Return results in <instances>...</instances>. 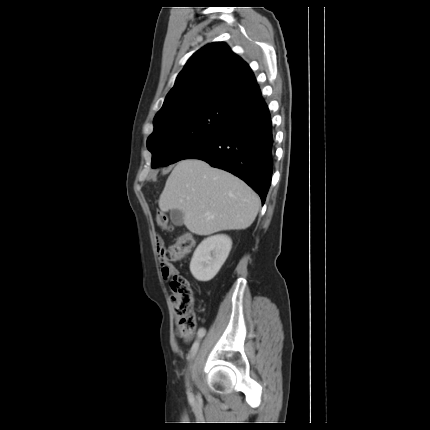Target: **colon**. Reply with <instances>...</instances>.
Masks as SVG:
<instances>
[{
	"instance_id": "colon-1",
	"label": "colon",
	"mask_w": 430,
	"mask_h": 430,
	"mask_svg": "<svg viewBox=\"0 0 430 430\" xmlns=\"http://www.w3.org/2000/svg\"><path fill=\"white\" fill-rule=\"evenodd\" d=\"M157 224L166 230L171 229L168 217L163 212H158L156 215ZM194 239L188 234L180 235L174 243L169 246L163 244L157 245L158 255L164 253V258L170 261H178L183 259L194 247ZM170 289L171 299L176 319V328L179 335L190 340L197 329V317L194 311V293L190 283L183 276L176 274L171 276Z\"/></svg>"
}]
</instances>
